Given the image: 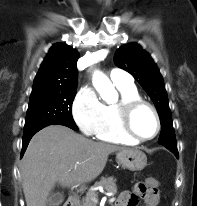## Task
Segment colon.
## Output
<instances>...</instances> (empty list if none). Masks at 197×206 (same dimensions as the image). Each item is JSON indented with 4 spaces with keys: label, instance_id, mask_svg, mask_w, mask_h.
Here are the masks:
<instances>
[{
    "label": "colon",
    "instance_id": "1",
    "mask_svg": "<svg viewBox=\"0 0 197 206\" xmlns=\"http://www.w3.org/2000/svg\"><path fill=\"white\" fill-rule=\"evenodd\" d=\"M158 186V182L157 180L150 178L147 179L145 182L139 183L137 186L138 192L140 193H144L146 192L148 189H155ZM136 196L133 197V201H136Z\"/></svg>",
    "mask_w": 197,
    "mask_h": 206
}]
</instances>
